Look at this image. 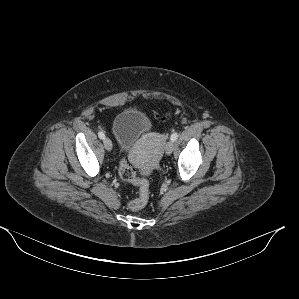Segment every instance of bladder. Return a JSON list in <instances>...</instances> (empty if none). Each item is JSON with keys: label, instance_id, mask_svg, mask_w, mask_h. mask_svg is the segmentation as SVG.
Listing matches in <instances>:
<instances>
[{"label": "bladder", "instance_id": "31cf9c89", "mask_svg": "<svg viewBox=\"0 0 299 299\" xmlns=\"http://www.w3.org/2000/svg\"><path fill=\"white\" fill-rule=\"evenodd\" d=\"M149 118L137 109H126L113 120L112 131L120 148L125 153L142 136L150 131Z\"/></svg>", "mask_w": 299, "mask_h": 299}]
</instances>
